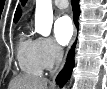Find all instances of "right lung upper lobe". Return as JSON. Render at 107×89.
<instances>
[{
	"label": "right lung upper lobe",
	"mask_w": 107,
	"mask_h": 89,
	"mask_svg": "<svg viewBox=\"0 0 107 89\" xmlns=\"http://www.w3.org/2000/svg\"><path fill=\"white\" fill-rule=\"evenodd\" d=\"M20 15H21V11L18 7L17 10H16V13H15V16H14V22L18 21V19L20 18Z\"/></svg>",
	"instance_id": "cb5924a9"
}]
</instances>
